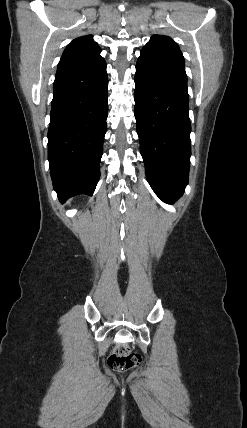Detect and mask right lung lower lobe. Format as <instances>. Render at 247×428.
I'll list each match as a JSON object with an SVG mask.
<instances>
[{"label":"right lung lower lobe","instance_id":"98d812e1","mask_svg":"<svg viewBox=\"0 0 247 428\" xmlns=\"http://www.w3.org/2000/svg\"><path fill=\"white\" fill-rule=\"evenodd\" d=\"M48 129V160L60 202L92 195L108 116L106 62L95 60L56 73Z\"/></svg>","mask_w":247,"mask_h":428}]
</instances>
